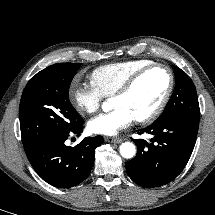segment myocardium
I'll return each mask as SVG.
<instances>
[{
    "label": "myocardium",
    "instance_id": "f54148a6",
    "mask_svg": "<svg viewBox=\"0 0 215 215\" xmlns=\"http://www.w3.org/2000/svg\"><path fill=\"white\" fill-rule=\"evenodd\" d=\"M157 68H162L167 71V73L169 75V84H168L167 90H166L163 98L161 99L159 104L156 106V108L149 114L135 119V121L140 124H148V123L153 122L162 114V112L166 108V106L171 98V95L173 93L174 86H175V76H174L172 69L168 65H165L162 63H153L151 65H148V66L142 68L141 70L137 71L135 74H133L114 95V98L127 95L128 93L131 92V90L134 88V86L138 83V81L144 75H146L148 72H150L154 69H157Z\"/></svg>",
    "mask_w": 215,
    "mask_h": 215
}]
</instances>
